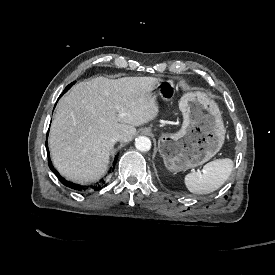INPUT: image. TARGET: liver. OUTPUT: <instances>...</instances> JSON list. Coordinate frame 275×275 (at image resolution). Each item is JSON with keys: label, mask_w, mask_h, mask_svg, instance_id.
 <instances>
[{"label": "liver", "mask_w": 275, "mask_h": 275, "mask_svg": "<svg viewBox=\"0 0 275 275\" xmlns=\"http://www.w3.org/2000/svg\"><path fill=\"white\" fill-rule=\"evenodd\" d=\"M159 81L150 77L118 80L96 78L75 85L57 106L51 126L50 151L59 172L86 184L108 169L111 136L122 132L131 141L135 127L155 120L160 105L154 96Z\"/></svg>", "instance_id": "obj_1"}]
</instances>
